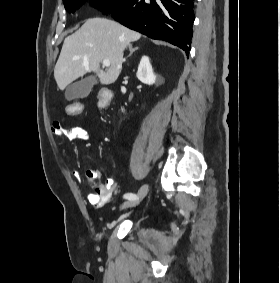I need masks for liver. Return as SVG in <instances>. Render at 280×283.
I'll return each instance as SVG.
<instances>
[{"label":"liver","mask_w":280,"mask_h":283,"mask_svg":"<svg viewBox=\"0 0 280 283\" xmlns=\"http://www.w3.org/2000/svg\"><path fill=\"white\" fill-rule=\"evenodd\" d=\"M141 34L105 18L88 19L79 30L65 38L54 69L60 90L86 73H95L101 84L115 82L121 72L123 53ZM104 59L110 61L106 71L100 68Z\"/></svg>","instance_id":"6515ba94"}]
</instances>
